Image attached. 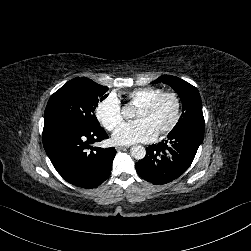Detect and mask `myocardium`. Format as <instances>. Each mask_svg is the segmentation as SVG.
I'll use <instances>...</instances> for the list:
<instances>
[{
	"label": "myocardium",
	"instance_id": "myocardium-1",
	"mask_svg": "<svg viewBox=\"0 0 251 251\" xmlns=\"http://www.w3.org/2000/svg\"><path fill=\"white\" fill-rule=\"evenodd\" d=\"M166 97H171L174 99L176 103V113L173 120L169 124L162 126L159 129L162 133H166L173 130L181 121L183 113V102L181 96L175 91H163L162 93L151 99L149 102L141 105V108H144L146 110H153Z\"/></svg>",
	"mask_w": 251,
	"mask_h": 251
}]
</instances>
